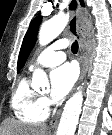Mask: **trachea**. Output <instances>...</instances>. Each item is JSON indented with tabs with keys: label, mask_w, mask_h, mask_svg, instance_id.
Segmentation results:
<instances>
[{
	"label": "trachea",
	"mask_w": 112,
	"mask_h": 135,
	"mask_svg": "<svg viewBox=\"0 0 112 135\" xmlns=\"http://www.w3.org/2000/svg\"><path fill=\"white\" fill-rule=\"evenodd\" d=\"M71 50H72L73 53L78 52V42L77 41L73 42V44L71 46Z\"/></svg>",
	"instance_id": "trachea-1"
}]
</instances>
